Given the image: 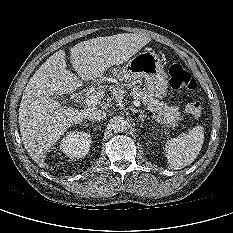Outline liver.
Wrapping results in <instances>:
<instances>
[{"mask_svg": "<svg viewBox=\"0 0 233 233\" xmlns=\"http://www.w3.org/2000/svg\"><path fill=\"white\" fill-rule=\"evenodd\" d=\"M150 40L145 35L125 33L74 45L71 63L78 77L67 69L64 50L55 52L39 67L24 90L18 117L25 149L39 167H45L46 154L61 135L93 110L63 106L56 97L74 92L82 80H95L108 68L128 61Z\"/></svg>", "mask_w": 233, "mask_h": 233, "instance_id": "6515ba94", "label": "liver"}]
</instances>
